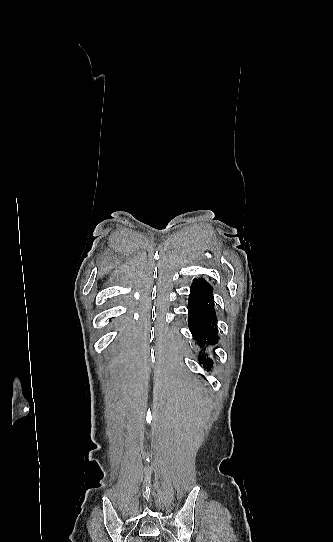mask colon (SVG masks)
<instances>
[{"instance_id": "obj_1", "label": "colon", "mask_w": 333, "mask_h": 542, "mask_svg": "<svg viewBox=\"0 0 333 542\" xmlns=\"http://www.w3.org/2000/svg\"><path fill=\"white\" fill-rule=\"evenodd\" d=\"M145 542H160L158 536H147Z\"/></svg>"}]
</instances>
